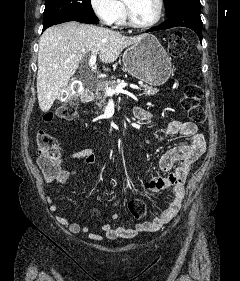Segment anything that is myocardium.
Listing matches in <instances>:
<instances>
[{"mask_svg": "<svg viewBox=\"0 0 240 281\" xmlns=\"http://www.w3.org/2000/svg\"><path fill=\"white\" fill-rule=\"evenodd\" d=\"M123 3H124V6H125V14H126L127 24L132 28L147 29V28H150V27H153L154 25H156L160 21V19L162 18L163 10H164V0H157L156 15L151 21H149L147 23H139V22L135 21L134 18H133L131 7L128 4L127 0H123Z\"/></svg>", "mask_w": 240, "mask_h": 281, "instance_id": "obj_1", "label": "myocardium"}]
</instances>
